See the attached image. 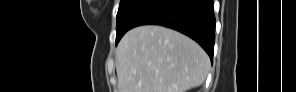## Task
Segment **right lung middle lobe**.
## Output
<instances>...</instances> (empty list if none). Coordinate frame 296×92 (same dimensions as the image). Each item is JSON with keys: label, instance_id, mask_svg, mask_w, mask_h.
Listing matches in <instances>:
<instances>
[{"label": "right lung middle lobe", "instance_id": "right-lung-middle-lobe-1", "mask_svg": "<svg viewBox=\"0 0 296 92\" xmlns=\"http://www.w3.org/2000/svg\"><path fill=\"white\" fill-rule=\"evenodd\" d=\"M154 0H121L116 25V45L126 31L131 29L134 20Z\"/></svg>", "mask_w": 296, "mask_h": 92}]
</instances>
